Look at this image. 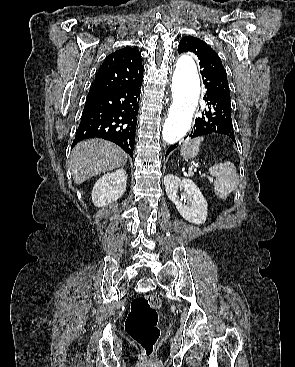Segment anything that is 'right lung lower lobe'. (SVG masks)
<instances>
[{
	"label": "right lung lower lobe",
	"mask_w": 295,
	"mask_h": 367,
	"mask_svg": "<svg viewBox=\"0 0 295 367\" xmlns=\"http://www.w3.org/2000/svg\"><path fill=\"white\" fill-rule=\"evenodd\" d=\"M141 84L117 89L91 87L72 147L84 139L103 138L133 157Z\"/></svg>",
	"instance_id": "right-lung-lower-lobe-1"
}]
</instances>
